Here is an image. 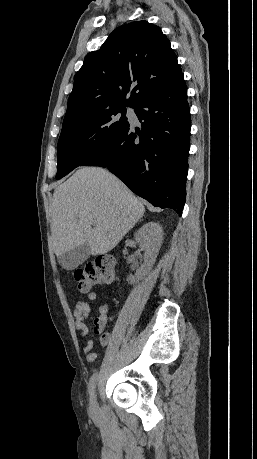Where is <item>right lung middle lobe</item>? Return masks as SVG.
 <instances>
[{"instance_id": "dd1d6c3e", "label": "right lung middle lobe", "mask_w": 257, "mask_h": 459, "mask_svg": "<svg viewBox=\"0 0 257 459\" xmlns=\"http://www.w3.org/2000/svg\"><path fill=\"white\" fill-rule=\"evenodd\" d=\"M129 125L123 106L107 109L63 128L57 146L56 179L107 149Z\"/></svg>"}]
</instances>
